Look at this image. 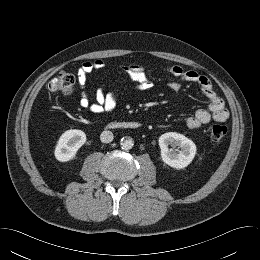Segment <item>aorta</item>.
<instances>
[{"mask_svg":"<svg viewBox=\"0 0 260 260\" xmlns=\"http://www.w3.org/2000/svg\"><path fill=\"white\" fill-rule=\"evenodd\" d=\"M120 145L123 150H129L133 147L134 142H133V139L130 137L122 138Z\"/></svg>","mask_w":260,"mask_h":260,"instance_id":"obj_1","label":"aorta"}]
</instances>
